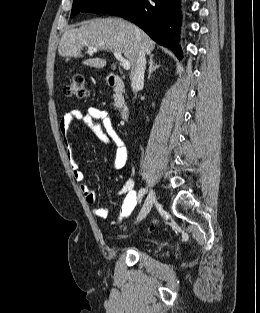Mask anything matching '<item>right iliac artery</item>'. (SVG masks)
<instances>
[{
	"label": "right iliac artery",
	"instance_id": "right-iliac-artery-1",
	"mask_svg": "<svg viewBox=\"0 0 260 313\" xmlns=\"http://www.w3.org/2000/svg\"><path fill=\"white\" fill-rule=\"evenodd\" d=\"M146 193V189L145 188H141L140 190H139V193H138V198H139V200L141 201V199H142V197H143V195Z\"/></svg>",
	"mask_w": 260,
	"mask_h": 313
}]
</instances>
